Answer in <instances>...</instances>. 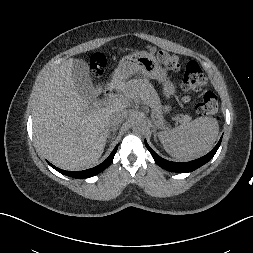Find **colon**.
<instances>
[{"label": "colon", "mask_w": 253, "mask_h": 253, "mask_svg": "<svg viewBox=\"0 0 253 253\" xmlns=\"http://www.w3.org/2000/svg\"><path fill=\"white\" fill-rule=\"evenodd\" d=\"M158 62L173 72L181 70L179 59L163 50H153ZM89 66L93 76L98 77L102 74L106 66V59L102 54H94L89 59ZM206 76L200 65L195 61L186 64L183 73L182 87L188 91L198 92V100L195 110L200 116H216L218 111V100L216 95L205 89Z\"/></svg>", "instance_id": "5ec220e1"}]
</instances>
